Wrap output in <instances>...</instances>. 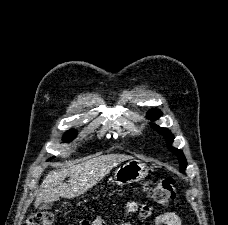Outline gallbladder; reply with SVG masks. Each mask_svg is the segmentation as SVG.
I'll use <instances>...</instances> for the list:
<instances>
[{
	"label": "gallbladder",
	"instance_id": "gallbladder-1",
	"mask_svg": "<svg viewBox=\"0 0 228 225\" xmlns=\"http://www.w3.org/2000/svg\"><path fill=\"white\" fill-rule=\"evenodd\" d=\"M53 203H41L40 209H51Z\"/></svg>",
	"mask_w": 228,
	"mask_h": 225
}]
</instances>
